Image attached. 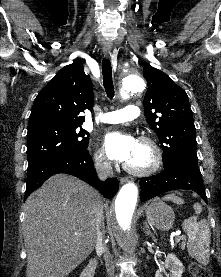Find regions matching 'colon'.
<instances>
[{"label": "colon", "mask_w": 221, "mask_h": 277, "mask_svg": "<svg viewBox=\"0 0 221 277\" xmlns=\"http://www.w3.org/2000/svg\"><path fill=\"white\" fill-rule=\"evenodd\" d=\"M189 271L194 277H213L211 271L199 265L198 263L192 262L189 264Z\"/></svg>", "instance_id": "5ec220e1"}]
</instances>
